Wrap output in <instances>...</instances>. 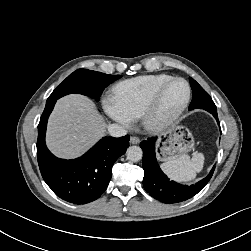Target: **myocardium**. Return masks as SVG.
<instances>
[{"instance_id": "f54148a6", "label": "myocardium", "mask_w": 251, "mask_h": 251, "mask_svg": "<svg viewBox=\"0 0 251 251\" xmlns=\"http://www.w3.org/2000/svg\"><path fill=\"white\" fill-rule=\"evenodd\" d=\"M175 82H183L186 86L187 94L184 102L181 106L176 109L173 113L166 117H159L158 116V109L161 102V98L165 92V90ZM191 100V87L188 81L181 77H174L170 80L163 83L152 95L148 104L144 108L141 114V121L143 127L152 133H158L166 130L170 126H172L183 114L186 108L189 105Z\"/></svg>"}]
</instances>
